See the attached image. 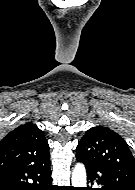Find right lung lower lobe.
I'll list each match as a JSON object with an SVG mask.
<instances>
[{
	"label": "right lung lower lobe",
	"instance_id": "98d812e1",
	"mask_svg": "<svg viewBox=\"0 0 135 190\" xmlns=\"http://www.w3.org/2000/svg\"><path fill=\"white\" fill-rule=\"evenodd\" d=\"M50 162L0 168V190H55Z\"/></svg>",
	"mask_w": 135,
	"mask_h": 190
}]
</instances>
